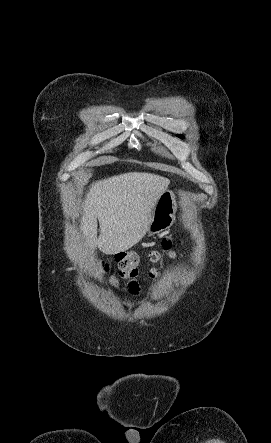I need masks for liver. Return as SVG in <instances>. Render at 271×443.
I'll return each mask as SVG.
<instances>
[{
	"mask_svg": "<svg viewBox=\"0 0 271 443\" xmlns=\"http://www.w3.org/2000/svg\"><path fill=\"white\" fill-rule=\"evenodd\" d=\"M169 184L167 178L146 172H129L93 182L84 200L80 223L86 255L96 247L103 253H119L138 243L148 229L160 194Z\"/></svg>",
	"mask_w": 271,
	"mask_h": 443,
	"instance_id": "obj_1",
	"label": "liver"
}]
</instances>
